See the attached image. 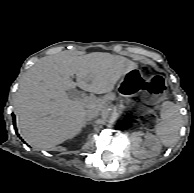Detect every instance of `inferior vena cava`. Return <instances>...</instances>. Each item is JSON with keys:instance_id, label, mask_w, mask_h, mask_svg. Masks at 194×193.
I'll use <instances>...</instances> for the list:
<instances>
[{"instance_id": "1", "label": "inferior vena cava", "mask_w": 194, "mask_h": 193, "mask_svg": "<svg viewBox=\"0 0 194 193\" xmlns=\"http://www.w3.org/2000/svg\"><path fill=\"white\" fill-rule=\"evenodd\" d=\"M97 115H99V110H94V109L86 110V120H91Z\"/></svg>"}]
</instances>
